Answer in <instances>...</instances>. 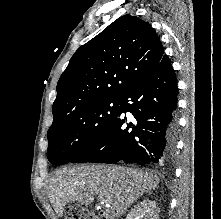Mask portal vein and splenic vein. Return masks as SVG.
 I'll use <instances>...</instances> for the list:
<instances>
[{"label": "portal vein and splenic vein", "mask_w": 221, "mask_h": 219, "mask_svg": "<svg viewBox=\"0 0 221 219\" xmlns=\"http://www.w3.org/2000/svg\"><path fill=\"white\" fill-rule=\"evenodd\" d=\"M101 205H104V206H108L109 207V205L105 202V201H103V200H101Z\"/></svg>", "instance_id": "portal-vein-and-splenic-vein-1"}]
</instances>
